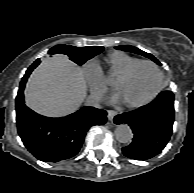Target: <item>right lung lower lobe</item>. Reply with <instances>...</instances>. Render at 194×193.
Masks as SVG:
<instances>
[{"label": "right lung lower lobe", "mask_w": 194, "mask_h": 193, "mask_svg": "<svg viewBox=\"0 0 194 193\" xmlns=\"http://www.w3.org/2000/svg\"><path fill=\"white\" fill-rule=\"evenodd\" d=\"M24 78L16 97L17 130L30 153L41 161L57 162L75 156L86 132L92 125H103L107 120L105 110L83 107L61 118L37 114L24 104Z\"/></svg>", "instance_id": "obj_1"}]
</instances>
